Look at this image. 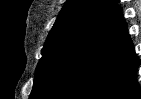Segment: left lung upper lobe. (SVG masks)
<instances>
[{"mask_svg":"<svg viewBox=\"0 0 141 99\" xmlns=\"http://www.w3.org/2000/svg\"><path fill=\"white\" fill-rule=\"evenodd\" d=\"M116 7V0L65 3L42 49L30 99H38L53 84L72 56Z\"/></svg>","mask_w":141,"mask_h":99,"instance_id":"1","label":"left lung upper lobe"}]
</instances>
